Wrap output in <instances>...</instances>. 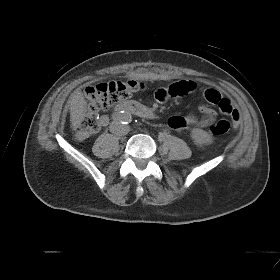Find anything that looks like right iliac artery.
Returning <instances> with one entry per match:
<instances>
[{
  "instance_id": "right-iliac-artery-1",
  "label": "right iliac artery",
  "mask_w": 280,
  "mask_h": 280,
  "mask_svg": "<svg viewBox=\"0 0 280 280\" xmlns=\"http://www.w3.org/2000/svg\"><path fill=\"white\" fill-rule=\"evenodd\" d=\"M120 118H121V114L120 113L113 117L114 120H119Z\"/></svg>"
}]
</instances>
